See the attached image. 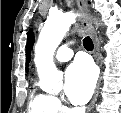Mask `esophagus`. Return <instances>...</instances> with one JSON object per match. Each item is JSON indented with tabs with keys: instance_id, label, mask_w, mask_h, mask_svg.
I'll use <instances>...</instances> for the list:
<instances>
[{
	"instance_id": "1",
	"label": "esophagus",
	"mask_w": 121,
	"mask_h": 113,
	"mask_svg": "<svg viewBox=\"0 0 121 113\" xmlns=\"http://www.w3.org/2000/svg\"><path fill=\"white\" fill-rule=\"evenodd\" d=\"M77 5L79 7V10L85 14L88 13V6L85 0H77ZM83 26L87 29V31L90 33L91 38L93 40V44H94V50H93V55L94 58L96 60V62L101 66V57H100V52H99V41L97 38L96 33L93 30V27L91 25V22L89 21V19L87 17L84 18L83 20ZM100 84H101V77L99 78V81L97 83V87L95 89V93L93 95V98L88 106V112L93 108L98 94H99V89H100Z\"/></svg>"
}]
</instances>
